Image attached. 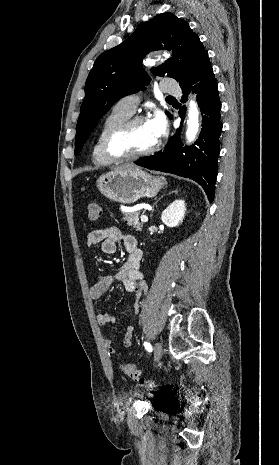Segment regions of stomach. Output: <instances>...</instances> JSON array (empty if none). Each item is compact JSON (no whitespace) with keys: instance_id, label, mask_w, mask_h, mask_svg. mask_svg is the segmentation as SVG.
Instances as JSON below:
<instances>
[{"instance_id":"obj_1","label":"stomach","mask_w":279,"mask_h":465,"mask_svg":"<svg viewBox=\"0 0 279 465\" xmlns=\"http://www.w3.org/2000/svg\"><path fill=\"white\" fill-rule=\"evenodd\" d=\"M165 184L164 177L152 176L139 168L117 169L101 175L96 181L105 197L123 204L154 197Z\"/></svg>"}]
</instances>
